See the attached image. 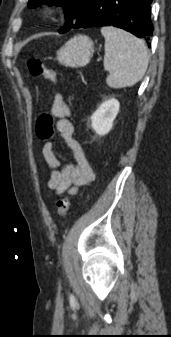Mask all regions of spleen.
Returning <instances> with one entry per match:
<instances>
[{"label": "spleen", "mask_w": 171, "mask_h": 337, "mask_svg": "<svg viewBox=\"0 0 171 337\" xmlns=\"http://www.w3.org/2000/svg\"><path fill=\"white\" fill-rule=\"evenodd\" d=\"M101 34L105 38L103 65L109 72L107 85L115 89L135 85L143 78L148 67L145 43L113 26L102 27Z\"/></svg>", "instance_id": "3e777b00"}]
</instances>
